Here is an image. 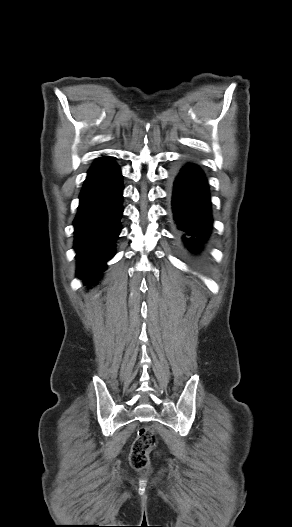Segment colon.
I'll use <instances>...</instances> for the list:
<instances>
[{
  "instance_id": "5ec220e1",
  "label": "colon",
  "mask_w": 292,
  "mask_h": 527,
  "mask_svg": "<svg viewBox=\"0 0 292 527\" xmlns=\"http://www.w3.org/2000/svg\"><path fill=\"white\" fill-rule=\"evenodd\" d=\"M156 444L155 431L150 426H143L138 432L130 452V463L138 471H147L150 466L149 453Z\"/></svg>"
}]
</instances>
